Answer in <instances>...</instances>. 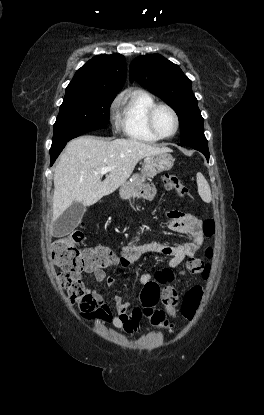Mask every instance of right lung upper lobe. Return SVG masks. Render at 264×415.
I'll return each mask as SVG.
<instances>
[{
	"mask_svg": "<svg viewBox=\"0 0 264 415\" xmlns=\"http://www.w3.org/2000/svg\"><path fill=\"white\" fill-rule=\"evenodd\" d=\"M125 78V57L118 53L101 54L75 73L65 96L116 95L123 87Z\"/></svg>",
	"mask_w": 264,
	"mask_h": 415,
	"instance_id": "1",
	"label": "right lung upper lobe"
}]
</instances>
